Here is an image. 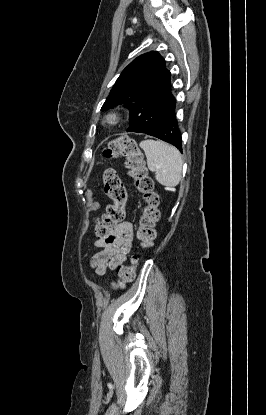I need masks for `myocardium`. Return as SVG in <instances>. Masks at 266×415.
Wrapping results in <instances>:
<instances>
[{
	"label": "myocardium",
	"instance_id": "myocardium-1",
	"mask_svg": "<svg viewBox=\"0 0 266 415\" xmlns=\"http://www.w3.org/2000/svg\"><path fill=\"white\" fill-rule=\"evenodd\" d=\"M122 118H123L122 112L117 111V110H113V111H110L106 114L105 121L108 124L115 125V124L119 123L122 120Z\"/></svg>",
	"mask_w": 266,
	"mask_h": 415
}]
</instances>
